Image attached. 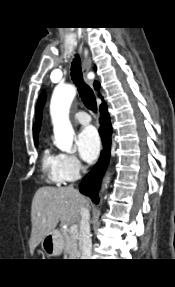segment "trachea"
<instances>
[{"mask_svg":"<svg viewBox=\"0 0 175 287\" xmlns=\"http://www.w3.org/2000/svg\"><path fill=\"white\" fill-rule=\"evenodd\" d=\"M71 77L78 88L79 95L89 110L96 111L97 103L92 89L84 82L81 72V62L78 55L74 58L71 66Z\"/></svg>","mask_w":175,"mask_h":287,"instance_id":"obj_1","label":"trachea"}]
</instances>
